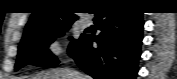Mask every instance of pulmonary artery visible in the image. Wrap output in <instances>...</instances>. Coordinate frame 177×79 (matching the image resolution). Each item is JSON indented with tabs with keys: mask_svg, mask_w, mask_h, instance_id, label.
Returning a JSON list of instances; mask_svg holds the SVG:
<instances>
[{
	"mask_svg": "<svg viewBox=\"0 0 177 79\" xmlns=\"http://www.w3.org/2000/svg\"><path fill=\"white\" fill-rule=\"evenodd\" d=\"M90 24H91L90 18L84 16V17L81 19V26H82L83 28L88 27Z\"/></svg>",
	"mask_w": 177,
	"mask_h": 79,
	"instance_id": "pulmonary-artery-1",
	"label": "pulmonary artery"
}]
</instances>
